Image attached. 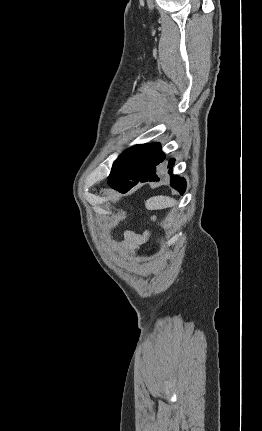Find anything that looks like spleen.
Instances as JSON below:
<instances>
[{"label":"spleen","instance_id":"spleen-1","mask_svg":"<svg viewBox=\"0 0 262 431\" xmlns=\"http://www.w3.org/2000/svg\"><path fill=\"white\" fill-rule=\"evenodd\" d=\"M176 204V201L167 196H154L149 198L145 206L148 210H161L164 208L172 207Z\"/></svg>","mask_w":262,"mask_h":431}]
</instances>
